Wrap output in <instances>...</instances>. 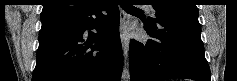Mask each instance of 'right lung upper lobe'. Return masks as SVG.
<instances>
[{
	"instance_id": "obj_1",
	"label": "right lung upper lobe",
	"mask_w": 237,
	"mask_h": 81,
	"mask_svg": "<svg viewBox=\"0 0 237 81\" xmlns=\"http://www.w3.org/2000/svg\"><path fill=\"white\" fill-rule=\"evenodd\" d=\"M89 5V0H44L41 21L76 14Z\"/></svg>"
}]
</instances>
